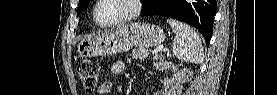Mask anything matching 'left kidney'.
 Returning <instances> with one entry per match:
<instances>
[{"mask_svg":"<svg viewBox=\"0 0 277 95\" xmlns=\"http://www.w3.org/2000/svg\"><path fill=\"white\" fill-rule=\"evenodd\" d=\"M171 70L174 72V77L170 79H164L165 90L168 93L176 92L189 77L190 72L187 69L179 70L176 66H170Z\"/></svg>","mask_w":277,"mask_h":95,"instance_id":"5707ae66","label":"left kidney"}]
</instances>
